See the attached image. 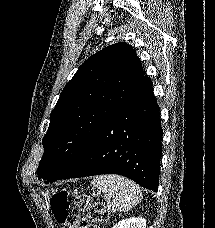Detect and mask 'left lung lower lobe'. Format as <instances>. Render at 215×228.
Listing matches in <instances>:
<instances>
[{"instance_id": "1", "label": "left lung lower lobe", "mask_w": 215, "mask_h": 228, "mask_svg": "<svg viewBox=\"0 0 215 228\" xmlns=\"http://www.w3.org/2000/svg\"><path fill=\"white\" fill-rule=\"evenodd\" d=\"M160 121L152 82L144 76L74 163L50 182L118 174L157 192L163 132Z\"/></svg>"}]
</instances>
